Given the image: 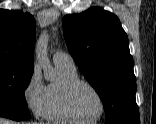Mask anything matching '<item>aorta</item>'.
<instances>
[{
    "label": "aorta",
    "instance_id": "obj_1",
    "mask_svg": "<svg viewBox=\"0 0 156 124\" xmlns=\"http://www.w3.org/2000/svg\"><path fill=\"white\" fill-rule=\"evenodd\" d=\"M48 34L44 32L36 43V58L39 64L42 65L45 78L52 80L54 75L51 72V67L47 55Z\"/></svg>",
    "mask_w": 156,
    "mask_h": 124
}]
</instances>
